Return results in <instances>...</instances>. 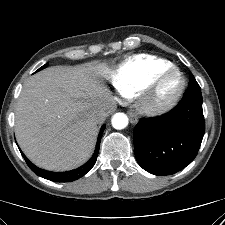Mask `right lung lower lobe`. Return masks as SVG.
Wrapping results in <instances>:
<instances>
[{"instance_id":"98d812e1","label":"right lung lower lobe","mask_w":225,"mask_h":225,"mask_svg":"<svg viewBox=\"0 0 225 225\" xmlns=\"http://www.w3.org/2000/svg\"><path fill=\"white\" fill-rule=\"evenodd\" d=\"M104 129H105V125L102 126L101 131L99 133L97 146H96V149H95V152H94L92 158L86 164H84L83 166H81L75 170H71V171H67V172H51V171L43 170L41 168L36 167L32 162H30L23 153H22V156L24 157L29 168L34 173H36L38 176H41L45 179H48V180H51L54 182L75 181V180L79 179L80 177L84 176L94 166V164L97 160V156H98V152H99V148H100V139H101Z\"/></svg>"}]
</instances>
